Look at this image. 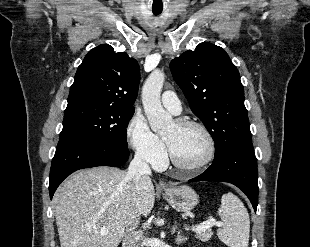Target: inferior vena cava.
Segmentation results:
<instances>
[{
  "label": "inferior vena cava",
  "instance_id": "1",
  "mask_svg": "<svg viewBox=\"0 0 310 247\" xmlns=\"http://www.w3.org/2000/svg\"><path fill=\"white\" fill-rule=\"evenodd\" d=\"M151 174V169L149 164L146 161V156L143 152L137 151L133 160L131 161L128 172L127 179L132 180L136 185H138L139 180L142 176H149ZM140 223V214L134 213L132 216L130 228H127V233L125 235V244L126 247H138L136 243L139 238H137V232H135V228Z\"/></svg>",
  "mask_w": 310,
  "mask_h": 247
}]
</instances>
